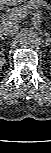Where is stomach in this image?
Listing matches in <instances>:
<instances>
[{"instance_id": "0dacf381", "label": "stomach", "mask_w": 51, "mask_h": 153, "mask_svg": "<svg viewBox=\"0 0 51 153\" xmlns=\"http://www.w3.org/2000/svg\"><path fill=\"white\" fill-rule=\"evenodd\" d=\"M20 1H21V0H17L18 3H20ZM25 1H27V0H22V2H25ZM22 2H21V3H22Z\"/></svg>"}]
</instances>
